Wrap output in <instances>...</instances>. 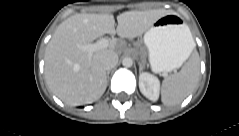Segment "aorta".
<instances>
[{
	"label": "aorta",
	"instance_id": "762f6f07",
	"mask_svg": "<svg viewBox=\"0 0 239 136\" xmlns=\"http://www.w3.org/2000/svg\"><path fill=\"white\" fill-rule=\"evenodd\" d=\"M122 64L123 66L125 67H131L133 65V60L130 58V57H125L123 60H122Z\"/></svg>",
	"mask_w": 239,
	"mask_h": 136
}]
</instances>
